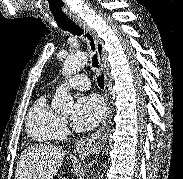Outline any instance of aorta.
<instances>
[{
  "instance_id": "1",
  "label": "aorta",
  "mask_w": 183,
  "mask_h": 179,
  "mask_svg": "<svg viewBox=\"0 0 183 179\" xmlns=\"http://www.w3.org/2000/svg\"><path fill=\"white\" fill-rule=\"evenodd\" d=\"M88 61V55L85 52H80L77 54L70 55L66 58L62 67V74L65 78L72 76L73 74L80 71ZM65 84H61L54 95L52 100V108L62 111L68 112L73 108V97L69 93L68 88Z\"/></svg>"
}]
</instances>
